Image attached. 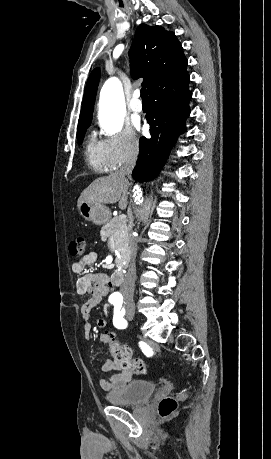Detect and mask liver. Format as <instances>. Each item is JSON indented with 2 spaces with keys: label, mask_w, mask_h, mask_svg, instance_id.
Returning <instances> with one entry per match:
<instances>
[{
  "label": "liver",
  "mask_w": 271,
  "mask_h": 459,
  "mask_svg": "<svg viewBox=\"0 0 271 459\" xmlns=\"http://www.w3.org/2000/svg\"><path fill=\"white\" fill-rule=\"evenodd\" d=\"M128 180L125 174L113 172L110 176H103L94 180L84 192H82L78 200V208L82 202H97V204H116L119 202V208L125 210L127 208ZM123 194V196H121Z\"/></svg>",
  "instance_id": "liver-1"
}]
</instances>
